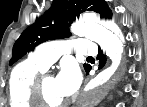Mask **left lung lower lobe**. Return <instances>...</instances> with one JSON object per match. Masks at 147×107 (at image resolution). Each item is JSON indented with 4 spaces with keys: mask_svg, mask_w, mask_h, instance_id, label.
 <instances>
[{
    "mask_svg": "<svg viewBox=\"0 0 147 107\" xmlns=\"http://www.w3.org/2000/svg\"><path fill=\"white\" fill-rule=\"evenodd\" d=\"M99 60V68L103 67L104 64L106 63V57L103 55L102 52H100L98 54V57H97ZM91 70V66H89L85 71H86V74L89 73V71Z\"/></svg>",
    "mask_w": 147,
    "mask_h": 107,
    "instance_id": "0a47b994",
    "label": "left lung lower lobe"
}]
</instances>
